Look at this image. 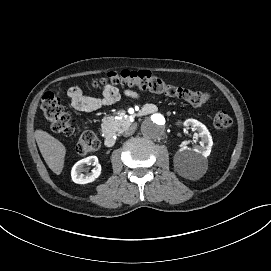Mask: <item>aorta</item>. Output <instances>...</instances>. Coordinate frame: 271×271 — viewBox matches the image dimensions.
<instances>
[{"mask_svg": "<svg viewBox=\"0 0 271 271\" xmlns=\"http://www.w3.org/2000/svg\"><path fill=\"white\" fill-rule=\"evenodd\" d=\"M167 120L161 113L146 118L141 124V133L148 139H159L165 132Z\"/></svg>", "mask_w": 271, "mask_h": 271, "instance_id": "1", "label": "aorta"}]
</instances>
